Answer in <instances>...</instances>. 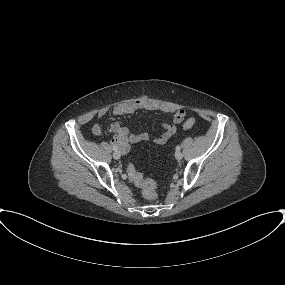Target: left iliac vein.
Here are the masks:
<instances>
[{
  "instance_id": "obj_1",
  "label": "left iliac vein",
  "mask_w": 285,
  "mask_h": 285,
  "mask_svg": "<svg viewBox=\"0 0 285 285\" xmlns=\"http://www.w3.org/2000/svg\"><path fill=\"white\" fill-rule=\"evenodd\" d=\"M175 157H176V159L180 160V159L183 158V154L180 151H176L175 152Z\"/></svg>"
}]
</instances>
